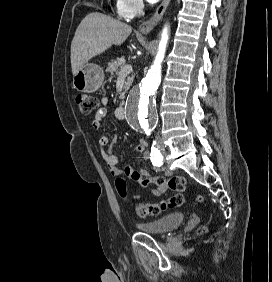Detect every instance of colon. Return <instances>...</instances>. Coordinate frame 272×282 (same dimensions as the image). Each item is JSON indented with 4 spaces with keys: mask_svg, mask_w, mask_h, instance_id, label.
<instances>
[{
    "mask_svg": "<svg viewBox=\"0 0 272 282\" xmlns=\"http://www.w3.org/2000/svg\"><path fill=\"white\" fill-rule=\"evenodd\" d=\"M76 102L80 111L85 114L91 113L97 106L96 99L86 93H79L76 96ZM132 179L143 187H145L151 181L148 177H145L138 172L133 173ZM152 180L158 184L167 185L170 189L178 192H184L188 188L187 180L179 176H174L170 179L160 177ZM115 185L120 195L123 198H126L128 193L125 179L122 176H118L115 180ZM197 200L202 202L204 201V197L198 196ZM182 204L183 196L181 194H175L156 204H139L137 206L136 212L140 217L157 216L167 209L180 207Z\"/></svg>",
    "mask_w": 272,
    "mask_h": 282,
    "instance_id": "5ec220e1",
    "label": "colon"
}]
</instances>
